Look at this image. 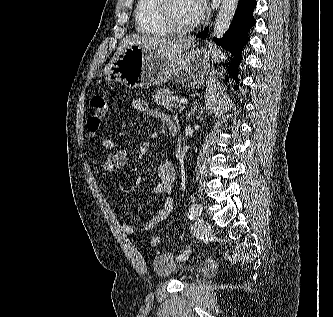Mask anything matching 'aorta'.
Here are the masks:
<instances>
[{
	"label": "aorta",
	"mask_w": 333,
	"mask_h": 317,
	"mask_svg": "<svg viewBox=\"0 0 333 317\" xmlns=\"http://www.w3.org/2000/svg\"><path fill=\"white\" fill-rule=\"evenodd\" d=\"M238 5V0H222L220 9L215 18L214 36L220 38L228 29Z\"/></svg>",
	"instance_id": "obj_1"
}]
</instances>
